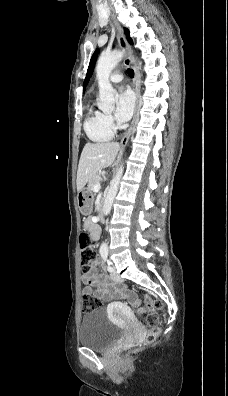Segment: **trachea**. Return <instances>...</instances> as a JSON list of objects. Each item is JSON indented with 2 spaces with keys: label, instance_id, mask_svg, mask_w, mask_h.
Listing matches in <instances>:
<instances>
[{
  "label": "trachea",
  "instance_id": "trachea-1",
  "mask_svg": "<svg viewBox=\"0 0 228 396\" xmlns=\"http://www.w3.org/2000/svg\"><path fill=\"white\" fill-rule=\"evenodd\" d=\"M127 73H128V75L131 77V78H133L134 77V71L132 70V69H127Z\"/></svg>",
  "mask_w": 228,
  "mask_h": 396
}]
</instances>
